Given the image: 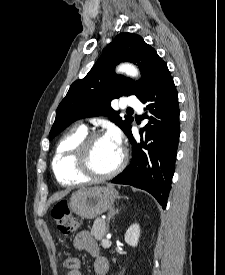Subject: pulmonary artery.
Listing matches in <instances>:
<instances>
[{
  "label": "pulmonary artery",
  "mask_w": 225,
  "mask_h": 275,
  "mask_svg": "<svg viewBox=\"0 0 225 275\" xmlns=\"http://www.w3.org/2000/svg\"><path fill=\"white\" fill-rule=\"evenodd\" d=\"M124 106L141 109L142 104L140 101L135 97H128L125 99Z\"/></svg>",
  "instance_id": "pulmonary-artery-1"
}]
</instances>
